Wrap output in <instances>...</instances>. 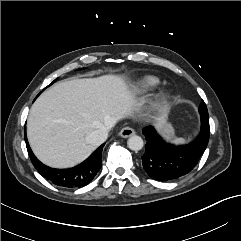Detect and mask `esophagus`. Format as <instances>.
Wrapping results in <instances>:
<instances>
[{
    "label": "esophagus",
    "mask_w": 241,
    "mask_h": 241,
    "mask_svg": "<svg viewBox=\"0 0 241 241\" xmlns=\"http://www.w3.org/2000/svg\"><path fill=\"white\" fill-rule=\"evenodd\" d=\"M119 134L123 138H128V137L135 134V130L131 127H124V128L121 129Z\"/></svg>",
    "instance_id": "34e87169"
}]
</instances>
